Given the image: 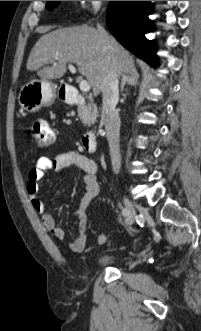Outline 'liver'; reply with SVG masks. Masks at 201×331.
<instances>
[{"label": "liver", "mask_w": 201, "mask_h": 331, "mask_svg": "<svg viewBox=\"0 0 201 331\" xmlns=\"http://www.w3.org/2000/svg\"><path fill=\"white\" fill-rule=\"evenodd\" d=\"M67 63L77 65L95 96L111 70L119 75L137 74L133 58L115 38L88 26L57 29L43 35L31 50L26 67L50 80L63 77ZM48 64L51 66L44 67Z\"/></svg>", "instance_id": "obj_1"}]
</instances>
